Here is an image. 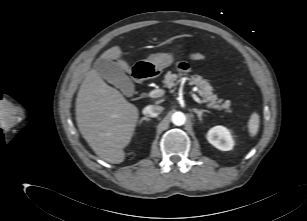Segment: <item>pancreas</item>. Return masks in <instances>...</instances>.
I'll return each mask as SVG.
<instances>
[{"mask_svg":"<svg viewBox=\"0 0 307 221\" xmlns=\"http://www.w3.org/2000/svg\"><path fill=\"white\" fill-rule=\"evenodd\" d=\"M183 77L177 74L168 72L164 76V86L167 88H172L177 86ZM186 80L189 82V85H194L197 87V93L203 98L204 102L208 103V106L217 110H225L227 113H231V102L229 100L219 99L217 95L213 93L212 86L210 83L202 79L199 75H192L186 77Z\"/></svg>","mask_w":307,"mask_h":221,"instance_id":"1","label":"pancreas"}]
</instances>
